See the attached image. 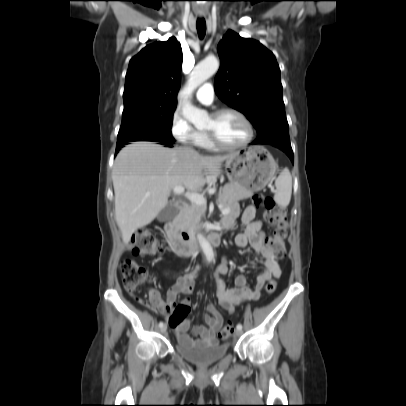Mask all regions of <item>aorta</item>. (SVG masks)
<instances>
[{"label":"aorta","mask_w":406,"mask_h":406,"mask_svg":"<svg viewBox=\"0 0 406 406\" xmlns=\"http://www.w3.org/2000/svg\"><path fill=\"white\" fill-rule=\"evenodd\" d=\"M218 69L219 61L216 57H207L197 64L189 76L188 84L182 91V95L185 97L191 95L197 87L213 76ZM182 114L196 128L203 127L209 121L207 112L194 107L190 102L182 106ZM198 240L206 260L211 262L214 257L212 246L202 235L198 236Z\"/></svg>","instance_id":"obj_1"}]
</instances>
